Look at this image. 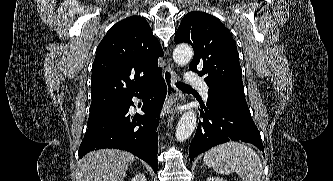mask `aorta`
Returning a JSON list of instances; mask_svg holds the SVG:
<instances>
[{
    "instance_id": "1",
    "label": "aorta",
    "mask_w": 333,
    "mask_h": 181,
    "mask_svg": "<svg viewBox=\"0 0 333 181\" xmlns=\"http://www.w3.org/2000/svg\"><path fill=\"white\" fill-rule=\"evenodd\" d=\"M193 57V50L187 44L178 45L173 51V59L179 66H184ZM196 114L193 111L185 112L180 118L176 127V139L183 142L188 139L196 127Z\"/></svg>"
}]
</instances>
